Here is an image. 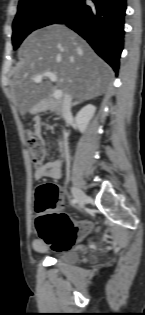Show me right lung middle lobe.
Returning a JSON list of instances; mask_svg holds the SVG:
<instances>
[{
    "mask_svg": "<svg viewBox=\"0 0 145 315\" xmlns=\"http://www.w3.org/2000/svg\"><path fill=\"white\" fill-rule=\"evenodd\" d=\"M73 0H27L20 2L13 22L12 41L17 49L34 30L55 23Z\"/></svg>",
    "mask_w": 145,
    "mask_h": 315,
    "instance_id": "obj_1",
    "label": "right lung middle lobe"
}]
</instances>
